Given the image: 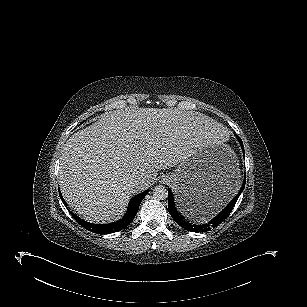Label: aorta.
<instances>
[{
	"label": "aorta",
	"mask_w": 307,
	"mask_h": 307,
	"mask_svg": "<svg viewBox=\"0 0 307 307\" xmlns=\"http://www.w3.org/2000/svg\"><path fill=\"white\" fill-rule=\"evenodd\" d=\"M153 196L157 200H165L168 197V191H167L166 187L159 185V186H156L154 188Z\"/></svg>",
	"instance_id": "aorta-1"
}]
</instances>
